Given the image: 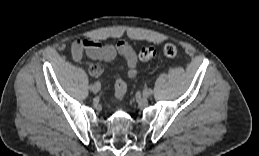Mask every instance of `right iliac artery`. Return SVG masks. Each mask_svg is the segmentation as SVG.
<instances>
[{"instance_id":"obj_1","label":"right iliac artery","mask_w":259,"mask_h":156,"mask_svg":"<svg viewBox=\"0 0 259 156\" xmlns=\"http://www.w3.org/2000/svg\"><path fill=\"white\" fill-rule=\"evenodd\" d=\"M93 88V85L92 84H89L88 85V90H91Z\"/></svg>"}]
</instances>
